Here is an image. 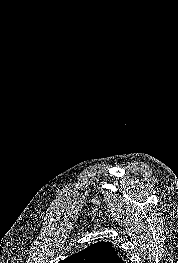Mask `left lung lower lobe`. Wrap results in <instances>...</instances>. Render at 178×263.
<instances>
[{"mask_svg":"<svg viewBox=\"0 0 178 263\" xmlns=\"http://www.w3.org/2000/svg\"><path fill=\"white\" fill-rule=\"evenodd\" d=\"M111 263H125V261L119 256L111 261Z\"/></svg>","mask_w":178,"mask_h":263,"instance_id":"left-lung-lower-lobe-1","label":"left lung lower lobe"}]
</instances>
